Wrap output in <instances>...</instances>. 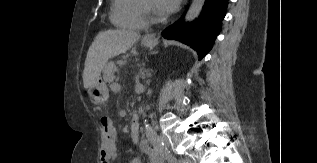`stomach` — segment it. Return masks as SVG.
<instances>
[{
  "instance_id": "0dacf381",
  "label": "stomach",
  "mask_w": 317,
  "mask_h": 163,
  "mask_svg": "<svg viewBox=\"0 0 317 163\" xmlns=\"http://www.w3.org/2000/svg\"><path fill=\"white\" fill-rule=\"evenodd\" d=\"M143 46L150 47L151 43L143 42ZM88 96L92 103L99 105L106 102L109 96L107 85L99 79L97 83L88 89Z\"/></svg>"
}]
</instances>
